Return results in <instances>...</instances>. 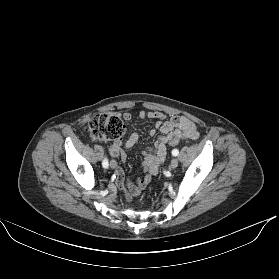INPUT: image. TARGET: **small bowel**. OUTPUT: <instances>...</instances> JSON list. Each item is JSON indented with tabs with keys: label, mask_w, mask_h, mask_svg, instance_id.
<instances>
[{
	"label": "small bowel",
	"mask_w": 279,
	"mask_h": 279,
	"mask_svg": "<svg viewBox=\"0 0 279 279\" xmlns=\"http://www.w3.org/2000/svg\"><path fill=\"white\" fill-rule=\"evenodd\" d=\"M140 119L148 118L156 120L154 128L150 130V134L154 136L157 131L161 132L154 148H149L144 152L143 166L145 175L138 178L136 182L125 180L124 172L121 167H115L114 177L116 184L120 190L125 194V199L130 201L133 196H138L143 189L150 182L151 177L156 175L164 163L167 154L166 145L172 137H182L188 140H195L199 133L195 124L184 116H173L167 119L160 111H140L138 114ZM125 121L132 119L130 112L122 114ZM137 133H132L126 141L115 140L109 146V153L112 157L120 156L121 161H126V154L123 149L132 148L138 141Z\"/></svg>",
	"instance_id": "obj_1"
}]
</instances>
